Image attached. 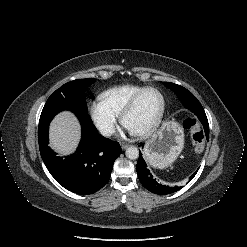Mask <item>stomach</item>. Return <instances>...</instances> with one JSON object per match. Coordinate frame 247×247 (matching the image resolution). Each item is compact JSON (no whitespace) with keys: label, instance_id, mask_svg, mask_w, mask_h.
I'll list each match as a JSON object with an SVG mask.
<instances>
[{"label":"stomach","instance_id":"obj_1","mask_svg":"<svg viewBox=\"0 0 247 247\" xmlns=\"http://www.w3.org/2000/svg\"><path fill=\"white\" fill-rule=\"evenodd\" d=\"M184 147V131L175 121L164 123L146 142L144 156L156 168L169 167Z\"/></svg>","mask_w":247,"mask_h":247}]
</instances>
